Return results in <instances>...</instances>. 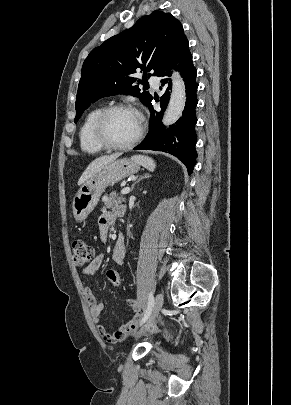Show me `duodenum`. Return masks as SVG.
<instances>
[{"instance_id": "410a0bca", "label": "duodenum", "mask_w": 291, "mask_h": 405, "mask_svg": "<svg viewBox=\"0 0 291 405\" xmlns=\"http://www.w3.org/2000/svg\"><path fill=\"white\" fill-rule=\"evenodd\" d=\"M122 213H123V210H120V211H119V214H122Z\"/></svg>"}]
</instances>
